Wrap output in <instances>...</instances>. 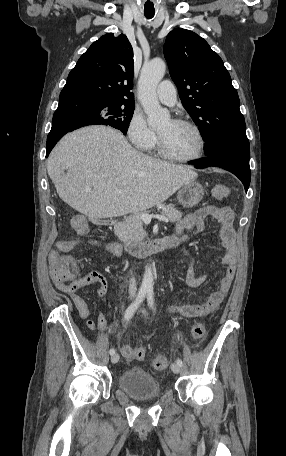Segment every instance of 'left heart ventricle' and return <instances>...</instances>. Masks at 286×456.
Here are the masks:
<instances>
[{
    "mask_svg": "<svg viewBox=\"0 0 286 456\" xmlns=\"http://www.w3.org/2000/svg\"><path fill=\"white\" fill-rule=\"evenodd\" d=\"M157 132L162 137L167 151L177 157H190L199 150V139L187 126L168 120L157 129Z\"/></svg>",
    "mask_w": 286,
    "mask_h": 456,
    "instance_id": "1",
    "label": "left heart ventricle"
}]
</instances>
